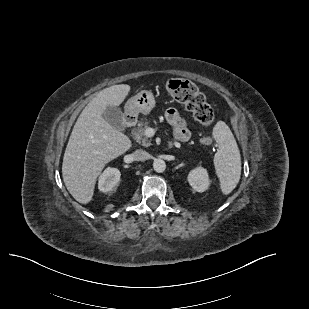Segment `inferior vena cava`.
<instances>
[{
  "label": "inferior vena cava",
  "mask_w": 309,
  "mask_h": 309,
  "mask_svg": "<svg viewBox=\"0 0 309 309\" xmlns=\"http://www.w3.org/2000/svg\"><path fill=\"white\" fill-rule=\"evenodd\" d=\"M132 156L135 161H144L150 157L149 153L141 149L134 151Z\"/></svg>",
  "instance_id": "inferior-vena-cava-1"
}]
</instances>
